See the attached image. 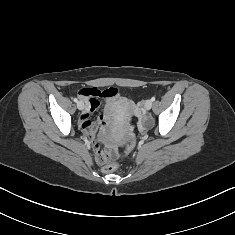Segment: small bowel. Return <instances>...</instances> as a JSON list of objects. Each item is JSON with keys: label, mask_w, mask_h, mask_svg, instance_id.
I'll return each instance as SVG.
<instances>
[{"label": "small bowel", "mask_w": 235, "mask_h": 235, "mask_svg": "<svg viewBox=\"0 0 235 235\" xmlns=\"http://www.w3.org/2000/svg\"><path fill=\"white\" fill-rule=\"evenodd\" d=\"M101 91L97 88H83L79 92L80 98L85 101L84 110L80 115V123L91 140L94 139L93 130L95 128L114 129L120 121L130 118L132 112V103L128 98L117 92L113 96L102 97L99 95ZM100 98H105L104 110L97 120L93 121L91 115L99 107Z\"/></svg>", "instance_id": "obj_1"}]
</instances>
